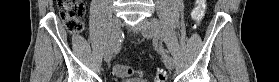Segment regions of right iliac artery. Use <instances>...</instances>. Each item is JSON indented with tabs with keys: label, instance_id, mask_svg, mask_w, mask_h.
Listing matches in <instances>:
<instances>
[{
	"label": "right iliac artery",
	"instance_id": "obj_1",
	"mask_svg": "<svg viewBox=\"0 0 279 82\" xmlns=\"http://www.w3.org/2000/svg\"><path fill=\"white\" fill-rule=\"evenodd\" d=\"M120 49H121V41H117L116 46L114 48V54L119 53Z\"/></svg>",
	"mask_w": 279,
	"mask_h": 82
}]
</instances>
